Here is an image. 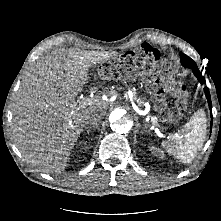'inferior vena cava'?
<instances>
[{
  "label": "inferior vena cava",
  "instance_id": "602c4592",
  "mask_svg": "<svg viewBox=\"0 0 221 221\" xmlns=\"http://www.w3.org/2000/svg\"><path fill=\"white\" fill-rule=\"evenodd\" d=\"M102 118H103V116L100 114L93 115L89 120V125L90 126H97L101 122Z\"/></svg>",
  "mask_w": 221,
  "mask_h": 221
}]
</instances>
